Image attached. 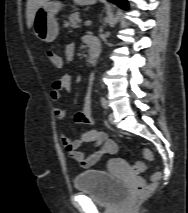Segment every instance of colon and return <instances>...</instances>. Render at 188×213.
<instances>
[{"instance_id": "5ec220e1", "label": "colon", "mask_w": 188, "mask_h": 213, "mask_svg": "<svg viewBox=\"0 0 188 213\" xmlns=\"http://www.w3.org/2000/svg\"><path fill=\"white\" fill-rule=\"evenodd\" d=\"M47 57L50 60H53L54 62L58 63V55L53 52V51H47ZM144 154L148 159H153V155L149 149H144ZM132 171L134 174L138 175L141 174L145 171V163L143 161H137L133 168ZM159 172H155L153 174V178L156 179L158 178ZM151 191V187L140 184L137 186L133 198H132V203L136 204L142 201Z\"/></svg>"}]
</instances>
